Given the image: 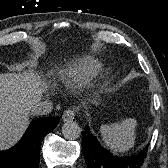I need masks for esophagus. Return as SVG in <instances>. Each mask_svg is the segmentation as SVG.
<instances>
[{
	"instance_id": "34e87169",
	"label": "esophagus",
	"mask_w": 168,
	"mask_h": 168,
	"mask_svg": "<svg viewBox=\"0 0 168 168\" xmlns=\"http://www.w3.org/2000/svg\"><path fill=\"white\" fill-rule=\"evenodd\" d=\"M75 118V109L69 108L64 111L62 119L65 122L72 121Z\"/></svg>"
}]
</instances>
